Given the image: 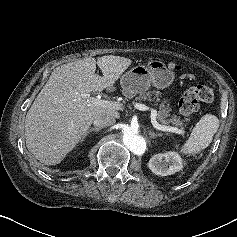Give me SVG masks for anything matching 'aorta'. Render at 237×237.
I'll return each mask as SVG.
<instances>
[{"instance_id":"obj_1","label":"aorta","mask_w":237,"mask_h":237,"mask_svg":"<svg viewBox=\"0 0 237 237\" xmlns=\"http://www.w3.org/2000/svg\"><path fill=\"white\" fill-rule=\"evenodd\" d=\"M125 146L135 154H141L146 147L145 139L139 134L138 128L127 126L123 130Z\"/></svg>"}]
</instances>
